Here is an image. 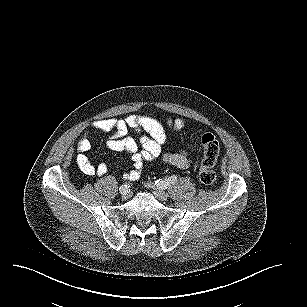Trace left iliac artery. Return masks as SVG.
I'll list each match as a JSON object with an SVG mask.
<instances>
[{
	"label": "left iliac artery",
	"instance_id": "44dca946",
	"mask_svg": "<svg viewBox=\"0 0 307 307\" xmlns=\"http://www.w3.org/2000/svg\"><path fill=\"white\" fill-rule=\"evenodd\" d=\"M177 176L176 175H172L169 178H165L164 180L159 179L157 181H155V185L161 189H166L170 184H173L177 181Z\"/></svg>",
	"mask_w": 307,
	"mask_h": 307
}]
</instances>
